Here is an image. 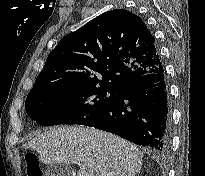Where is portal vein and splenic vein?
I'll return each mask as SVG.
<instances>
[{
	"instance_id": "portal-vein-and-splenic-vein-1",
	"label": "portal vein and splenic vein",
	"mask_w": 205,
	"mask_h": 176,
	"mask_svg": "<svg viewBox=\"0 0 205 176\" xmlns=\"http://www.w3.org/2000/svg\"><path fill=\"white\" fill-rule=\"evenodd\" d=\"M78 165L80 166L81 169H85L86 168V165L84 163H79Z\"/></svg>"
}]
</instances>
